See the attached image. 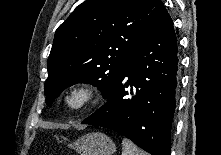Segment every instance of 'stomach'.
I'll return each mask as SVG.
<instances>
[{
    "label": "stomach",
    "instance_id": "1",
    "mask_svg": "<svg viewBox=\"0 0 221 155\" xmlns=\"http://www.w3.org/2000/svg\"><path fill=\"white\" fill-rule=\"evenodd\" d=\"M69 147L80 155H113L116 152L114 142L103 133H89L75 142L69 144Z\"/></svg>",
    "mask_w": 221,
    "mask_h": 155
}]
</instances>
